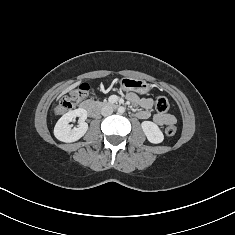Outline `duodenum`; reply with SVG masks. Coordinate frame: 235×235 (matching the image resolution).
<instances>
[{"label":"duodenum","mask_w":235,"mask_h":235,"mask_svg":"<svg viewBox=\"0 0 235 235\" xmlns=\"http://www.w3.org/2000/svg\"><path fill=\"white\" fill-rule=\"evenodd\" d=\"M110 106L117 108L118 104H112ZM81 108L88 112L90 116H96L99 112L100 106L91 101H85L82 103Z\"/></svg>","instance_id":"1"}]
</instances>
